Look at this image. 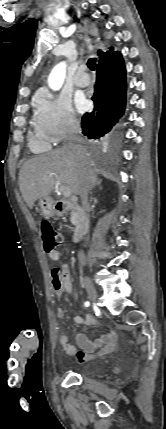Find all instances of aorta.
Instances as JSON below:
<instances>
[{"mask_svg": "<svg viewBox=\"0 0 166 429\" xmlns=\"http://www.w3.org/2000/svg\"><path fill=\"white\" fill-rule=\"evenodd\" d=\"M65 72V63H60L54 68L48 79L50 88H52L53 90H58L61 88L65 78Z\"/></svg>", "mask_w": 166, "mask_h": 429, "instance_id": "obj_1", "label": "aorta"}]
</instances>
